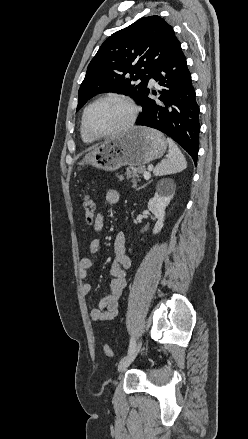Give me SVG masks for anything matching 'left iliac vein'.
Returning a JSON list of instances; mask_svg holds the SVG:
<instances>
[{
	"mask_svg": "<svg viewBox=\"0 0 248 439\" xmlns=\"http://www.w3.org/2000/svg\"><path fill=\"white\" fill-rule=\"evenodd\" d=\"M141 345H142V342L140 340L138 342V344L135 346V349L132 352L128 353L125 357H123L120 360V362L118 364V371L119 372H122L125 369H127V367H129V365L134 361V359L136 358L138 352L141 349Z\"/></svg>",
	"mask_w": 248,
	"mask_h": 439,
	"instance_id": "1",
	"label": "left iliac vein"
}]
</instances>
